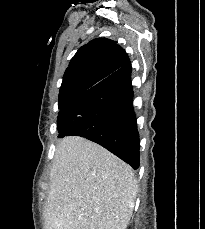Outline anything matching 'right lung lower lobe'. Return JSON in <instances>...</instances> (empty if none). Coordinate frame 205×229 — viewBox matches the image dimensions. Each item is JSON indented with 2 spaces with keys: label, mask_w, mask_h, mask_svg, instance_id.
<instances>
[{
  "label": "right lung lower lobe",
  "mask_w": 205,
  "mask_h": 229,
  "mask_svg": "<svg viewBox=\"0 0 205 229\" xmlns=\"http://www.w3.org/2000/svg\"><path fill=\"white\" fill-rule=\"evenodd\" d=\"M131 71L128 60L61 109L57 120L58 137H85L137 169L139 134L132 104Z\"/></svg>",
  "instance_id": "obj_1"
}]
</instances>
